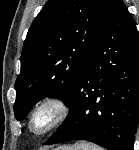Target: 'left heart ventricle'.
Wrapping results in <instances>:
<instances>
[{"label": "left heart ventricle", "instance_id": "b2bd125f", "mask_svg": "<svg viewBox=\"0 0 139 150\" xmlns=\"http://www.w3.org/2000/svg\"><path fill=\"white\" fill-rule=\"evenodd\" d=\"M49 120H50L49 112H43V113L39 114L34 121V128L36 130H41L42 128H44L47 125Z\"/></svg>", "mask_w": 139, "mask_h": 150}]
</instances>
